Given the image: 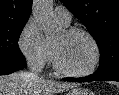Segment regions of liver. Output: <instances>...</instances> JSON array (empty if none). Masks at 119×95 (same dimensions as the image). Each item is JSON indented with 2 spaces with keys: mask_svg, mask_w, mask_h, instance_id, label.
<instances>
[{
  "mask_svg": "<svg viewBox=\"0 0 119 95\" xmlns=\"http://www.w3.org/2000/svg\"><path fill=\"white\" fill-rule=\"evenodd\" d=\"M74 87L73 84L39 77L32 79L27 72L0 76V95H55Z\"/></svg>",
  "mask_w": 119,
  "mask_h": 95,
  "instance_id": "1",
  "label": "liver"
}]
</instances>
